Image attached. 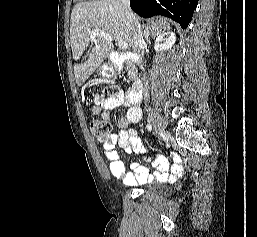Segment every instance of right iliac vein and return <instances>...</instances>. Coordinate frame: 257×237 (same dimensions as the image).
I'll return each mask as SVG.
<instances>
[{"mask_svg":"<svg viewBox=\"0 0 257 237\" xmlns=\"http://www.w3.org/2000/svg\"><path fill=\"white\" fill-rule=\"evenodd\" d=\"M148 114L152 121V125L154 127L156 134L158 136H161L164 132V125H163L162 118L152 109H149Z\"/></svg>","mask_w":257,"mask_h":237,"instance_id":"obj_1","label":"right iliac vein"}]
</instances>
